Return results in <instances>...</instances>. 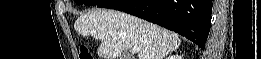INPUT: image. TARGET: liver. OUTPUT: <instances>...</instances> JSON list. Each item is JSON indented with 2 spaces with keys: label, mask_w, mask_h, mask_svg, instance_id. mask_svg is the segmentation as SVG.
Wrapping results in <instances>:
<instances>
[{
  "label": "liver",
  "mask_w": 261,
  "mask_h": 59,
  "mask_svg": "<svg viewBox=\"0 0 261 59\" xmlns=\"http://www.w3.org/2000/svg\"><path fill=\"white\" fill-rule=\"evenodd\" d=\"M76 32L100 40L97 54L102 59H118L122 52L139 49L137 59H163L181 45L174 33L129 14L110 9H94L77 18ZM130 59H135L130 56Z\"/></svg>",
  "instance_id": "liver-1"
}]
</instances>
